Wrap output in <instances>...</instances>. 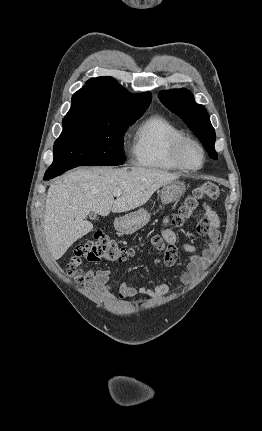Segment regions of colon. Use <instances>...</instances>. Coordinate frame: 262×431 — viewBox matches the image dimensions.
Returning a JSON list of instances; mask_svg holds the SVG:
<instances>
[{"instance_id": "5ec220e1", "label": "colon", "mask_w": 262, "mask_h": 431, "mask_svg": "<svg viewBox=\"0 0 262 431\" xmlns=\"http://www.w3.org/2000/svg\"><path fill=\"white\" fill-rule=\"evenodd\" d=\"M219 196L220 189L218 185L210 182L199 185L180 206L172 219V225L174 227H179L188 221L204 198L217 200ZM151 244L159 250L168 248V244L162 235L159 234L151 238ZM130 254L131 250L127 247L117 244L115 241L102 234H98L93 239L84 242L76 248L68 260L66 272L70 276L74 274L81 275L82 269L79 264L83 258L94 262H120L125 260Z\"/></svg>"}]
</instances>
